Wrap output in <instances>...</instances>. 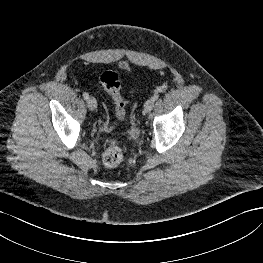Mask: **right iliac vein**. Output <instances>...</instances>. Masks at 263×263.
I'll return each instance as SVG.
<instances>
[{"instance_id":"63e3f726","label":"right iliac vein","mask_w":263,"mask_h":263,"mask_svg":"<svg viewBox=\"0 0 263 263\" xmlns=\"http://www.w3.org/2000/svg\"><path fill=\"white\" fill-rule=\"evenodd\" d=\"M87 106L90 110H95L97 107V101L94 97H90L87 100Z\"/></svg>"}]
</instances>
